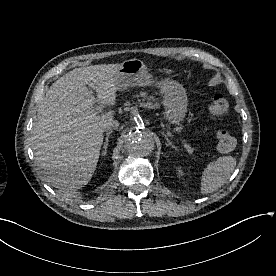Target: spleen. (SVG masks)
<instances>
[{"mask_svg":"<svg viewBox=\"0 0 276 276\" xmlns=\"http://www.w3.org/2000/svg\"><path fill=\"white\" fill-rule=\"evenodd\" d=\"M235 167L236 159L233 156L219 157L215 162L209 163L201 179V193L217 191L230 178Z\"/></svg>","mask_w":276,"mask_h":276,"instance_id":"spleen-1","label":"spleen"}]
</instances>
